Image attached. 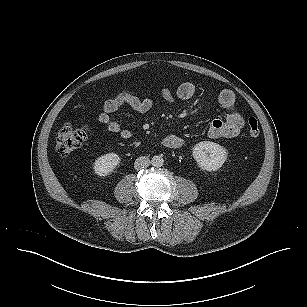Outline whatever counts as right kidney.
I'll list each match as a JSON object with an SVG mask.
<instances>
[{
	"instance_id": "1",
	"label": "right kidney",
	"mask_w": 307,
	"mask_h": 307,
	"mask_svg": "<svg viewBox=\"0 0 307 307\" xmlns=\"http://www.w3.org/2000/svg\"><path fill=\"white\" fill-rule=\"evenodd\" d=\"M120 157L116 153H107L97 158L93 164L94 172L99 176H107L119 165Z\"/></svg>"
}]
</instances>
